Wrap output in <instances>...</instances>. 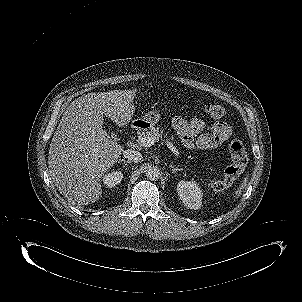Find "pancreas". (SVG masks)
Here are the masks:
<instances>
[{"label":"pancreas","mask_w":302,"mask_h":302,"mask_svg":"<svg viewBox=\"0 0 302 302\" xmlns=\"http://www.w3.org/2000/svg\"><path fill=\"white\" fill-rule=\"evenodd\" d=\"M141 137H154L159 140L162 137V131L159 127H152L150 130L143 132Z\"/></svg>","instance_id":"cf45deb5"}]
</instances>
